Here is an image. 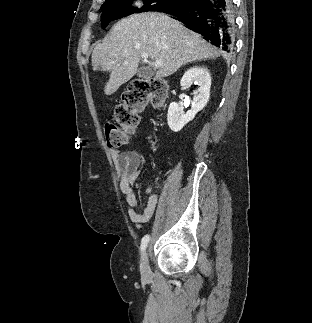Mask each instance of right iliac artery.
<instances>
[{
  "instance_id": "obj_1",
  "label": "right iliac artery",
  "mask_w": 312,
  "mask_h": 323,
  "mask_svg": "<svg viewBox=\"0 0 312 323\" xmlns=\"http://www.w3.org/2000/svg\"><path fill=\"white\" fill-rule=\"evenodd\" d=\"M148 241H149V235H145L141 240V251L142 252L146 249Z\"/></svg>"
}]
</instances>
